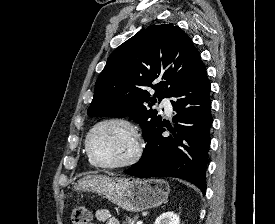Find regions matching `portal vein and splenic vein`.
<instances>
[{"label":"portal vein and splenic vein","mask_w":275,"mask_h":224,"mask_svg":"<svg viewBox=\"0 0 275 224\" xmlns=\"http://www.w3.org/2000/svg\"><path fill=\"white\" fill-rule=\"evenodd\" d=\"M142 223H143L142 221L137 222V224H142Z\"/></svg>","instance_id":"portal-vein-and-splenic-vein-1"}]
</instances>
